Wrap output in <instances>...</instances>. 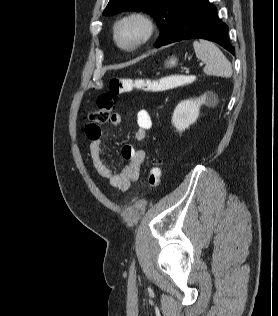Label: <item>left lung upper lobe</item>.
Returning <instances> with one entry per match:
<instances>
[{
  "label": "left lung upper lobe",
  "mask_w": 278,
  "mask_h": 316,
  "mask_svg": "<svg viewBox=\"0 0 278 316\" xmlns=\"http://www.w3.org/2000/svg\"><path fill=\"white\" fill-rule=\"evenodd\" d=\"M189 0H110L103 15L136 10L149 13L160 27L156 47L162 46L173 33Z\"/></svg>",
  "instance_id": "left-lung-upper-lobe-1"
}]
</instances>
